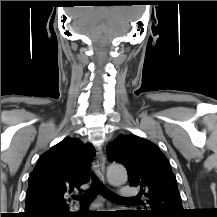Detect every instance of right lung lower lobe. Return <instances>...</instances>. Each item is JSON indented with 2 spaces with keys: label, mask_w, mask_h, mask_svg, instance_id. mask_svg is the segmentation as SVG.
Returning <instances> with one entry per match:
<instances>
[{
  "label": "right lung lower lobe",
  "mask_w": 217,
  "mask_h": 217,
  "mask_svg": "<svg viewBox=\"0 0 217 217\" xmlns=\"http://www.w3.org/2000/svg\"><path fill=\"white\" fill-rule=\"evenodd\" d=\"M68 217H75V215H72V216H68Z\"/></svg>",
  "instance_id": "1"
}]
</instances>
